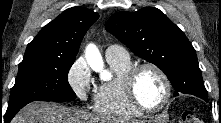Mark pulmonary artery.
<instances>
[{"label": "pulmonary artery", "mask_w": 221, "mask_h": 123, "mask_svg": "<svg viewBox=\"0 0 221 123\" xmlns=\"http://www.w3.org/2000/svg\"><path fill=\"white\" fill-rule=\"evenodd\" d=\"M105 56L107 60H128L129 53L119 45H109L106 48Z\"/></svg>", "instance_id": "obj_1"}]
</instances>
